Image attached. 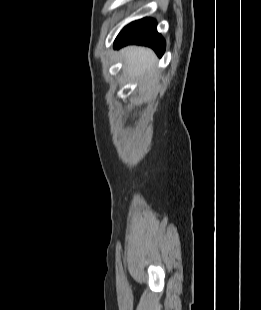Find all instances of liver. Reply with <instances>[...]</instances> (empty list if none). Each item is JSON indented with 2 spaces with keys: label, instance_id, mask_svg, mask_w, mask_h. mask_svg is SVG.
I'll list each match as a JSON object with an SVG mask.
<instances>
[{
  "label": "liver",
  "instance_id": "6515ba94",
  "mask_svg": "<svg viewBox=\"0 0 261 310\" xmlns=\"http://www.w3.org/2000/svg\"><path fill=\"white\" fill-rule=\"evenodd\" d=\"M121 53L125 60V71L131 78L152 74L156 57L151 49L131 46L123 49Z\"/></svg>",
  "mask_w": 261,
  "mask_h": 310
}]
</instances>
